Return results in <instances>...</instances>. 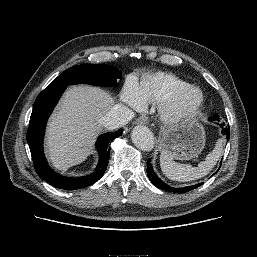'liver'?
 <instances>
[{"label": "liver", "instance_id": "1", "mask_svg": "<svg viewBox=\"0 0 257 257\" xmlns=\"http://www.w3.org/2000/svg\"><path fill=\"white\" fill-rule=\"evenodd\" d=\"M113 104L111 94L98 87L79 85L66 91L47 127L46 152L55 168L65 170L89 156L102 131L101 119Z\"/></svg>", "mask_w": 257, "mask_h": 257}]
</instances>
